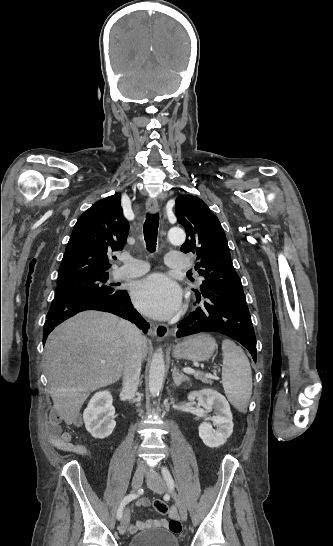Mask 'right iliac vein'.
I'll use <instances>...</instances> for the list:
<instances>
[{"label":"right iliac vein","instance_id":"1","mask_svg":"<svg viewBox=\"0 0 333 546\" xmlns=\"http://www.w3.org/2000/svg\"><path fill=\"white\" fill-rule=\"evenodd\" d=\"M144 479V474L142 471H137L132 479V487L134 490L139 489L142 486ZM130 522V512L129 510H126L122 519H121V525H120V532L124 533L126 531V528L128 527Z\"/></svg>","mask_w":333,"mask_h":546}]
</instances>
